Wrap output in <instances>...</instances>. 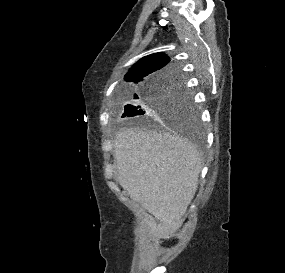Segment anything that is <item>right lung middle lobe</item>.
<instances>
[{
	"instance_id": "dd1d6c3e",
	"label": "right lung middle lobe",
	"mask_w": 285,
	"mask_h": 273,
	"mask_svg": "<svg viewBox=\"0 0 285 273\" xmlns=\"http://www.w3.org/2000/svg\"><path fill=\"white\" fill-rule=\"evenodd\" d=\"M134 99L133 105L125 106L122 117L142 121L159 118L187 131L196 130L199 126L192 99L176 70L146 83L145 90Z\"/></svg>"
}]
</instances>
